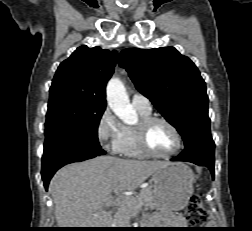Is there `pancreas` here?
<instances>
[{
  "instance_id": "obj_1",
  "label": "pancreas",
  "mask_w": 252,
  "mask_h": 231,
  "mask_svg": "<svg viewBox=\"0 0 252 231\" xmlns=\"http://www.w3.org/2000/svg\"><path fill=\"white\" fill-rule=\"evenodd\" d=\"M129 198L130 201L123 205L115 217V223L119 227H126L129 225L131 212L135 205L153 207L154 195L151 187L143 188L139 193Z\"/></svg>"
}]
</instances>
